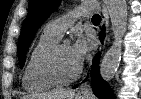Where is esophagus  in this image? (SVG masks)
<instances>
[{"mask_svg": "<svg viewBox=\"0 0 141 99\" xmlns=\"http://www.w3.org/2000/svg\"><path fill=\"white\" fill-rule=\"evenodd\" d=\"M100 5H101L102 13H103L101 25L105 26V32L107 33L108 19H109L108 11H107L105 5L102 2H100ZM105 41H106V38H105ZM90 93H91V89H90L89 84H85V85L81 86V88L78 91V94L81 95V96H86V95H89Z\"/></svg>", "mask_w": 141, "mask_h": 99, "instance_id": "obj_1", "label": "esophagus"}]
</instances>
